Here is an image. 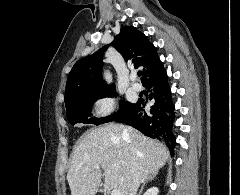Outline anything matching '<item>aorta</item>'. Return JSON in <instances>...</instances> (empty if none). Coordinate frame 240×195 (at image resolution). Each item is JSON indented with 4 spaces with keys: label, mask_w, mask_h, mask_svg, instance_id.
Instances as JSON below:
<instances>
[{
    "label": "aorta",
    "mask_w": 240,
    "mask_h": 195,
    "mask_svg": "<svg viewBox=\"0 0 240 195\" xmlns=\"http://www.w3.org/2000/svg\"><path fill=\"white\" fill-rule=\"evenodd\" d=\"M104 80H106V82H108V84H110V82H112V76H111L110 72H104Z\"/></svg>",
    "instance_id": "1"
}]
</instances>
